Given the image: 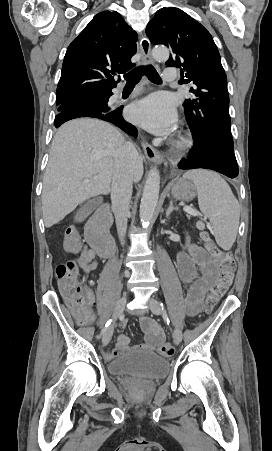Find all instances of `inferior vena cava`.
Wrapping results in <instances>:
<instances>
[{
	"mask_svg": "<svg viewBox=\"0 0 272 451\" xmlns=\"http://www.w3.org/2000/svg\"><path fill=\"white\" fill-rule=\"evenodd\" d=\"M138 158L137 150L129 142L121 146L114 156L111 200L119 237H124L127 229V216L132 196L133 168Z\"/></svg>",
	"mask_w": 272,
	"mask_h": 451,
	"instance_id": "602c4592",
	"label": "inferior vena cava"
}]
</instances>
